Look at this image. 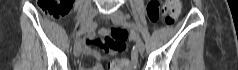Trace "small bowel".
Segmentation results:
<instances>
[{
  "mask_svg": "<svg viewBox=\"0 0 238 70\" xmlns=\"http://www.w3.org/2000/svg\"><path fill=\"white\" fill-rule=\"evenodd\" d=\"M106 37V32H104ZM96 45L102 46L108 53L113 54L117 52V50L109 48L104 41H98L95 39H88L84 44V53L87 55H91L95 57L98 62H96L91 68H87L85 66L81 67V70H104L103 61L104 58L101 54L94 48Z\"/></svg>",
  "mask_w": 238,
  "mask_h": 70,
  "instance_id": "c3829d8e",
  "label": "small bowel"
}]
</instances>
